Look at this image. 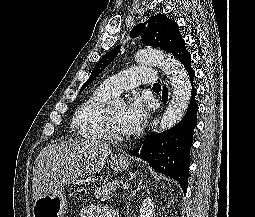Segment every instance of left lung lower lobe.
<instances>
[{
    "instance_id": "obj_1",
    "label": "left lung lower lobe",
    "mask_w": 255,
    "mask_h": 217,
    "mask_svg": "<svg viewBox=\"0 0 255 217\" xmlns=\"http://www.w3.org/2000/svg\"><path fill=\"white\" fill-rule=\"evenodd\" d=\"M186 68L191 81L194 71L191 68V55L185 46L173 54ZM196 90L192 87L191 103L183 119L171 130L160 134L153 133L140 148L130 154L147 161L157 172L174 178L186 193L188 186L190 148L193 142V130L197 125L198 105L195 101ZM168 91L163 88L162 100L167 102Z\"/></svg>"
}]
</instances>
